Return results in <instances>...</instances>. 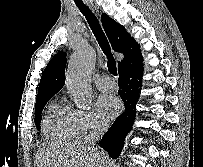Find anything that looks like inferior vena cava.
Returning <instances> with one entry per match:
<instances>
[{"label":"inferior vena cava","instance_id":"inferior-vena-cava-1","mask_svg":"<svg viewBox=\"0 0 203 167\" xmlns=\"http://www.w3.org/2000/svg\"><path fill=\"white\" fill-rule=\"evenodd\" d=\"M107 128V124L96 122L93 130L88 135L86 142L94 148L96 142L103 136Z\"/></svg>","mask_w":203,"mask_h":167}]
</instances>
